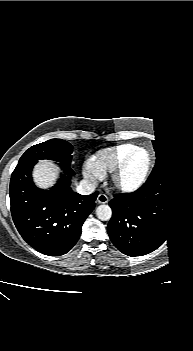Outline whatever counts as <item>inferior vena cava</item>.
Instances as JSON below:
<instances>
[{
    "label": "inferior vena cava",
    "instance_id": "obj_1",
    "mask_svg": "<svg viewBox=\"0 0 193 351\" xmlns=\"http://www.w3.org/2000/svg\"><path fill=\"white\" fill-rule=\"evenodd\" d=\"M93 191H94L93 185L88 182H83L82 184L78 185L76 188V192L82 195H88Z\"/></svg>",
    "mask_w": 193,
    "mask_h": 351
}]
</instances>
